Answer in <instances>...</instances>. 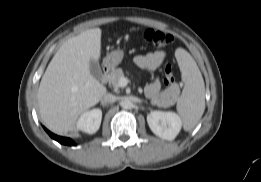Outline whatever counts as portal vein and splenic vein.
<instances>
[{"mask_svg": "<svg viewBox=\"0 0 261 182\" xmlns=\"http://www.w3.org/2000/svg\"><path fill=\"white\" fill-rule=\"evenodd\" d=\"M119 86L120 87H125L127 85V79L125 77H122L120 80H119Z\"/></svg>", "mask_w": 261, "mask_h": 182, "instance_id": "obj_1", "label": "portal vein and splenic vein"}]
</instances>
